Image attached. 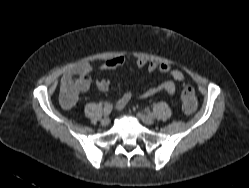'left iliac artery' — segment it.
<instances>
[{
  "label": "left iliac artery",
  "mask_w": 249,
  "mask_h": 188,
  "mask_svg": "<svg viewBox=\"0 0 249 188\" xmlns=\"http://www.w3.org/2000/svg\"><path fill=\"white\" fill-rule=\"evenodd\" d=\"M148 115H149L150 117H153V113H151L150 111H148Z\"/></svg>",
  "instance_id": "1"
}]
</instances>
